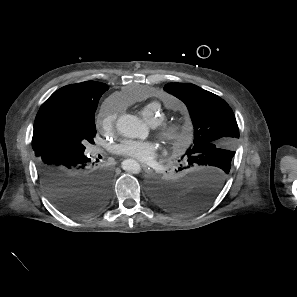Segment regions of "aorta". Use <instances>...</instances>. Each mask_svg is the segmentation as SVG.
I'll list each match as a JSON object with an SVG mask.
<instances>
[{"mask_svg": "<svg viewBox=\"0 0 297 297\" xmlns=\"http://www.w3.org/2000/svg\"><path fill=\"white\" fill-rule=\"evenodd\" d=\"M116 127L118 132L127 138H143L147 135L145 125L133 115H122L118 118ZM122 169L129 173L138 174L141 171L139 163L134 159H126L122 162Z\"/></svg>", "mask_w": 297, "mask_h": 297, "instance_id": "762f6f07", "label": "aorta"}]
</instances>
